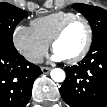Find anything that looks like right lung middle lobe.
Here are the masks:
<instances>
[{"mask_svg":"<svg viewBox=\"0 0 107 107\" xmlns=\"http://www.w3.org/2000/svg\"><path fill=\"white\" fill-rule=\"evenodd\" d=\"M28 14L11 4L0 3V49L8 52H17L13 44V32L16 25Z\"/></svg>","mask_w":107,"mask_h":107,"instance_id":"right-lung-middle-lobe-1","label":"right lung middle lobe"}]
</instances>
